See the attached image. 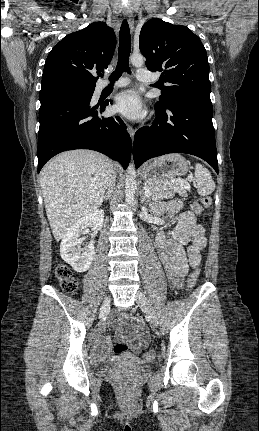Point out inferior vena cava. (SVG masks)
Segmentation results:
<instances>
[{"instance_id":"obj_1","label":"inferior vena cava","mask_w":259,"mask_h":431,"mask_svg":"<svg viewBox=\"0 0 259 431\" xmlns=\"http://www.w3.org/2000/svg\"><path fill=\"white\" fill-rule=\"evenodd\" d=\"M115 178H116V175H115V170H114L110 173L109 178H108V183H107V189H108L107 193L108 194H110L111 189L114 187Z\"/></svg>"}]
</instances>
